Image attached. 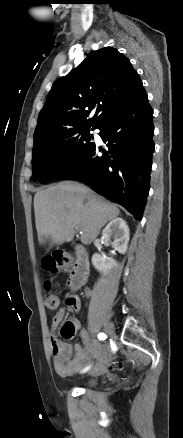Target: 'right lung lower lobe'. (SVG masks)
I'll return each mask as SVG.
<instances>
[{"mask_svg":"<svg viewBox=\"0 0 183 438\" xmlns=\"http://www.w3.org/2000/svg\"><path fill=\"white\" fill-rule=\"evenodd\" d=\"M153 110L145 93L106 118L97 129L108 151L92 143L56 178L75 177L141 220L150 188ZM99 152L103 154L99 156Z\"/></svg>","mask_w":183,"mask_h":438,"instance_id":"1","label":"right lung lower lobe"}]
</instances>
